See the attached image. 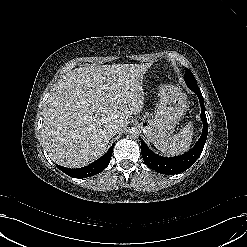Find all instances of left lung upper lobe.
<instances>
[{
	"label": "left lung upper lobe",
	"instance_id": "1",
	"mask_svg": "<svg viewBox=\"0 0 247 247\" xmlns=\"http://www.w3.org/2000/svg\"><path fill=\"white\" fill-rule=\"evenodd\" d=\"M184 80H185L186 84L197 85V81L189 69H186V72L184 75Z\"/></svg>",
	"mask_w": 247,
	"mask_h": 247
}]
</instances>
